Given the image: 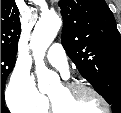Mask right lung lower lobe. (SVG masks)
I'll use <instances>...</instances> for the list:
<instances>
[{
  "instance_id": "1",
  "label": "right lung lower lobe",
  "mask_w": 121,
  "mask_h": 113,
  "mask_svg": "<svg viewBox=\"0 0 121 113\" xmlns=\"http://www.w3.org/2000/svg\"><path fill=\"white\" fill-rule=\"evenodd\" d=\"M1 113H9V111L6 108L5 104H1Z\"/></svg>"
}]
</instances>
